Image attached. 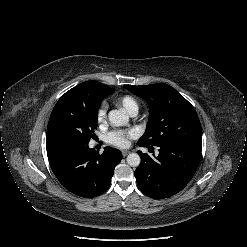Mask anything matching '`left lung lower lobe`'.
Here are the masks:
<instances>
[{
  "label": "left lung lower lobe",
  "instance_id": "1",
  "mask_svg": "<svg viewBox=\"0 0 247 247\" xmlns=\"http://www.w3.org/2000/svg\"><path fill=\"white\" fill-rule=\"evenodd\" d=\"M140 146V145H139ZM155 156L138 151L141 163L134 175L139 189L154 199H164L180 192L194 176L200 159L202 145L174 143L144 145Z\"/></svg>",
  "mask_w": 247,
  "mask_h": 247
}]
</instances>
